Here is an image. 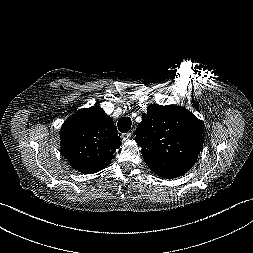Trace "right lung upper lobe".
<instances>
[{
	"mask_svg": "<svg viewBox=\"0 0 253 253\" xmlns=\"http://www.w3.org/2000/svg\"><path fill=\"white\" fill-rule=\"evenodd\" d=\"M60 138L61 154L84 174L104 169L121 146L113 120L99 105L70 116L60 129Z\"/></svg>",
	"mask_w": 253,
	"mask_h": 253,
	"instance_id": "cb5924a9",
	"label": "right lung upper lobe"
}]
</instances>
